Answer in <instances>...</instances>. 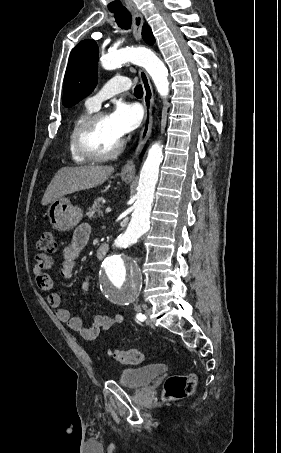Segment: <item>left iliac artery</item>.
<instances>
[{"mask_svg":"<svg viewBox=\"0 0 281 453\" xmlns=\"http://www.w3.org/2000/svg\"><path fill=\"white\" fill-rule=\"evenodd\" d=\"M136 318L143 322L146 319V316L141 314V313H139V314H137Z\"/></svg>","mask_w":281,"mask_h":453,"instance_id":"44dca946","label":"left iliac artery"}]
</instances>
